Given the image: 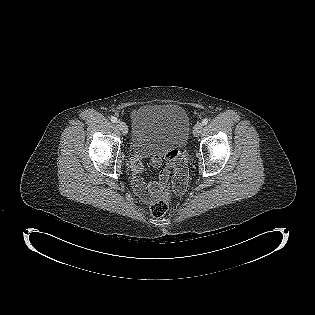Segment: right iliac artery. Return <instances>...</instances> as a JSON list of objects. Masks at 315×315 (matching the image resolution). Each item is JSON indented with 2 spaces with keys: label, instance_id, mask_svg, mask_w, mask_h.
Listing matches in <instances>:
<instances>
[{
  "label": "right iliac artery",
  "instance_id": "right-iliac-artery-1",
  "mask_svg": "<svg viewBox=\"0 0 315 315\" xmlns=\"http://www.w3.org/2000/svg\"><path fill=\"white\" fill-rule=\"evenodd\" d=\"M111 121H112L113 123H116V122H117V118H116L115 116H112V117H111Z\"/></svg>",
  "mask_w": 315,
  "mask_h": 315
}]
</instances>
